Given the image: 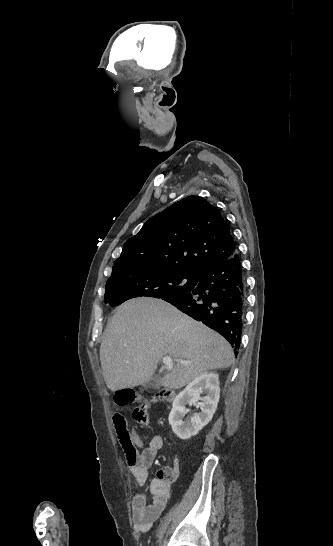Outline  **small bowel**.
Wrapping results in <instances>:
<instances>
[{
    "mask_svg": "<svg viewBox=\"0 0 333 546\" xmlns=\"http://www.w3.org/2000/svg\"><path fill=\"white\" fill-rule=\"evenodd\" d=\"M130 437L136 447L143 448L140 453H137L135 459H127V464L139 489L132 501V520L138 532H145L150 529L168 504L171 496L170 482L179 473V461L175 458L170 467L159 471L158 477L151 481V498L148 502L147 496L140 490L146 482L148 467L152 465L163 446V440L160 436H155L150 444L144 447L142 439L135 431L130 433Z\"/></svg>",
    "mask_w": 333,
    "mask_h": 546,
    "instance_id": "1",
    "label": "small bowel"
}]
</instances>
